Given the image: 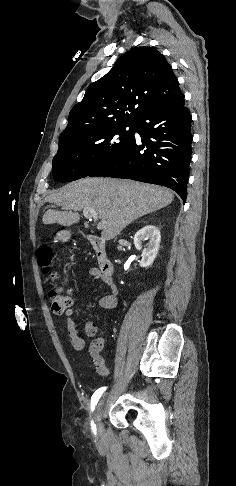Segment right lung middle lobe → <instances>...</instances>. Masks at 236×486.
<instances>
[{"label": "right lung middle lobe", "mask_w": 236, "mask_h": 486, "mask_svg": "<svg viewBox=\"0 0 236 486\" xmlns=\"http://www.w3.org/2000/svg\"><path fill=\"white\" fill-rule=\"evenodd\" d=\"M134 132V123L116 125L60 143L52 163L54 179L71 182L88 176L130 144L134 140Z\"/></svg>", "instance_id": "1"}]
</instances>
